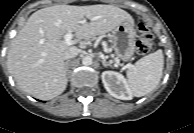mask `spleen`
I'll use <instances>...</instances> for the list:
<instances>
[{
    "instance_id": "spleen-1",
    "label": "spleen",
    "mask_w": 194,
    "mask_h": 133,
    "mask_svg": "<svg viewBox=\"0 0 194 133\" xmlns=\"http://www.w3.org/2000/svg\"><path fill=\"white\" fill-rule=\"evenodd\" d=\"M164 57L162 50L139 59L127 70L129 87L136 97L150 93L159 84L163 73Z\"/></svg>"
}]
</instances>
